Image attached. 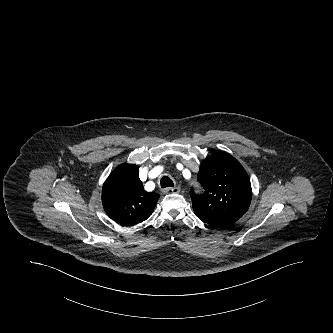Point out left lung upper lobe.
<instances>
[{"label": "left lung upper lobe", "mask_w": 333, "mask_h": 333, "mask_svg": "<svg viewBox=\"0 0 333 333\" xmlns=\"http://www.w3.org/2000/svg\"><path fill=\"white\" fill-rule=\"evenodd\" d=\"M198 180L204 193L191 189L195 215L203 222L223 227L241 218L248 210L252 189L250 178L242 165L230 154L217 151L201 164Z\"/></svg>", "instance_id": "1"}]
</instances>
